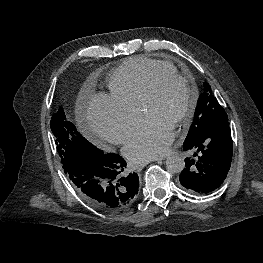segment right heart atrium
<instances>
[{
    "label": "right heart atrium",
    "mask_w": 263,
    "mask_h": 263,
    "mask_svg": "<svg viewBox=\"0 0 263 263\" xmlns=\"http://www.w3.org/2000/svg\"><path fill=\"white\" fill-rule=\"evenodd\" d=\"M86 120L91 132L102 143L122 144L139 122L140 112L111 94L99 93L87 105Z\"/></svg>",
    "instance_id": "1"
}]
</instances>
